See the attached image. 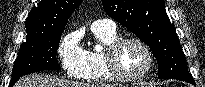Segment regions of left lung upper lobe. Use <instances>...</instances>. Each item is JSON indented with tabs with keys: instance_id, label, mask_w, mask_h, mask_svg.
<instances>
[{
	"instance_id": "1",
	"label": "left lung upper lobe",
	"mask_w": 205,
	"mask_h": 87,
	"mask_svg": "<svg viewBox=\"0 0 205 87\" xmlns=\"http://www.w3.org/2000/svg\"><path fill=\"white\" fill-rule=\"evenodd\" d=\"M102 4L110 17L149 46L157 59L160 79L194 82L164 0H102Z\"/></svg>"
}]
</instances>
